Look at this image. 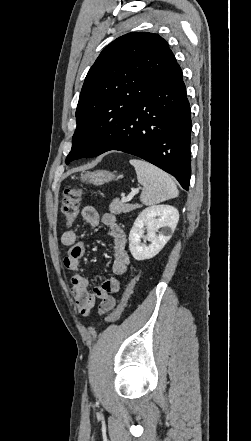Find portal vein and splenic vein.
Instances as JSON below:
<instances>
[{
	"label": "portal vein and splenic vein",
	"mask_w": 251,
	"mask_h": 441,
	"mask_svg": "<svg viewBox=\"0 0 251 441\" xmlns=\"http://www.w3.org/2000/svg\"><path fill=\"white\" fill-rule=\"evenodd\" d=\"M139 192V189L137 188V189H134L127 197H125V196H123L122 197V199H121V201L122 202H127V201H130L132 198H133V196L136 194V193H138Z\"/></svg>",
	"instance_id": "obj_1"
}]
</instances>
